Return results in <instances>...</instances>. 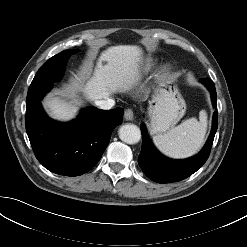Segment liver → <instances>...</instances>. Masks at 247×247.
I'll list each match as a JSON object with an SVG mask.
<instances>
[{
	"label": "liver",
	"mask_w": 247,
	"mask_h": 247,
	"mask_svg": "<svg viewBox=\"0 0 247 247\" xmlns=\"http://www.w3.org/2000/svg\"><path fill=\"white\" fill-rule=\"evenodd\" d=\"M143 51L138 46H112L103 51L98 59L93 76L83 86L82 91L89 101L108 99L112 93L124 92L139 79V69ZM106 62L105 65L102 63ZM77 96L71 101L51 96L45 103L50 114L57 120L69 121L76 117L79 108Z\"/></svg>",
	"instance_id": "liver-1"
}]
</instances>
